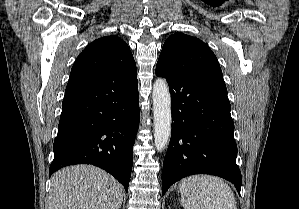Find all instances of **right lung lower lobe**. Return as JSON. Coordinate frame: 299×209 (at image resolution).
Instances as JSON below:
<instances>
[{
	"label": "right lung lower lobe",
	"instance_id": "right-lung-lower-lobe-1",
	"mask_svg": "<svg viewBox=\"0 0 299 209\" xmlns=\"http://www.w3.org/2000/svg\"><path fill=\"white\" fill-rule=\"evenodd\" d=\"M137 77L114 73L70 78L62 103L49 175L73 164H93L126 189L139 125Z\"/></svg>",
	"mask_w": 299,
	"mask_h": 209
}]
</instances>
